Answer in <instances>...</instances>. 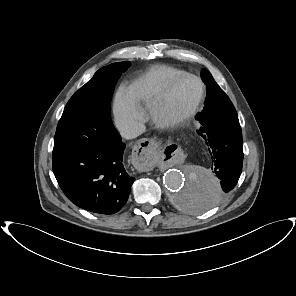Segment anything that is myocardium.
Segmentation results:
<instances>
[{"instance_id": "obj_1", "label": "myocardium", "mask_w": 296, "mask_h": 296, "mask_svg": "<svg viewBox=\"0 0 296 296\" xmlns=\"http://www.w3.org/2000/svg\"><path fill=\"white\" fill-rule=\"evenodd\" d=\"M186 78H191L199 84L200 92L196 102L184 114L179 116H169L166 113V106L170 94L176 85ZM206 96V87L200 77L191 73L181 74L172 79L162 90L156 100L149 107L150 117L155 125L163 129H175L188 124L199 112Z\"/></svg>"}]
</instances>
